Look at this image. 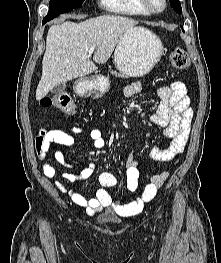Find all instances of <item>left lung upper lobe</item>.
I'll list each match as a JSON object with an SVG mask.
<instances>
[{
  "mask_svg": "<svg viewBox=\"0 0 221 263\" xmlns=\"http://www.w3.org/2000/svg\"><path fill=\"white\" fill-rule=\"evenodd\" d=\"M169 1H170L171 6L174 8V10L177 13H181L182 12L181 4H180L179 0H169Z\"/></svg>",
  "mask_w": 221,
  "mask_h": 263,
  "instance_id": "5c2ea615",
  "label": "left lung upper lobe"
}]
</instances>
